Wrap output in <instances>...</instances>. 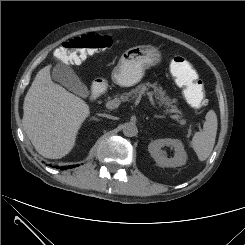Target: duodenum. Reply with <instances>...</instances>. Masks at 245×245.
<instances>
[{
  "label": "duodenum",
  "instance_id": "obj_1",
  "mask_svg": "<svg viewBox=\"0 0 245 245\" xmlns=\"http://www.w3.org/2000/svg\"><path fill=\"white\" fill-rule=\"evenodd\" d=\"M102 93V87L100 84H95L92 87L91 94H90V99L91 100H96Z\"/></svg>",
  "mask_w": 245,
  "mask_h": 245
}]
</instances>
